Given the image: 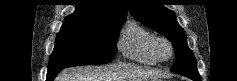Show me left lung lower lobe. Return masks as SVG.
I'll list each match as a JSON object with an SVG mask.
<instances>
[{
	"instance_id": "left-lung-lower-lobe-1",
	"label": "left lung lower lobe",
	"mask_w": 237,
	"mask_h": 81,
	"mask_svg": "<svg viewBox=\"0 0 237 81\" xmlns=\"http://www.w3.org/2000/svg\"><path fill=\"white\" fill-rule=\"evenodd\" d=\"M185 77H188V78H190V79H192V80H194V81H201V78L198 79V78H194V77H191V76H185Z\"/></svg>"
}]
</instances>
